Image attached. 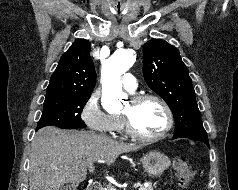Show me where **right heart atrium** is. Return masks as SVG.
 I'll return each instance as SVG.
<instances>
[{
    "instance_id": "d8ad5b80",
    "label": "right heart atrium",
    "mask_w": 238,
    "mask_h": 190,
    "mask_svg": "<svg viewBox=\"0 0 238 190\" xmlns=\"http://www.w3.org/2000/svg\"><path fill=\"white\" fill-rule=\"evenodd\" d=\"M99 99V91H93L84 102L80 117L89 129L102 134L110 133L114 131L113 116L103 111Z\"/></svg>"
}]
</instances>
